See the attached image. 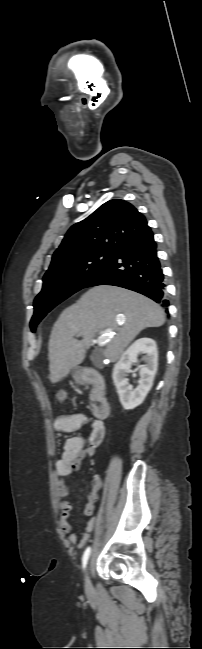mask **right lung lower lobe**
<instances>
[{"label":"right lung lower lobe","mask_w":202,"mask_h":649,"mask_svg":"<svg viewBox=\"0 0 202 649\" xmlns=\"http://www.w3.org/2000/svg\"><path fill=\"white\" fill-rule=\"evenodd\" d=\"M156 247L151 230L126 242L83 288L115 285L168 306L164 275Z\"/></svg>","instance_id":"obj_1"}]
</instances>
